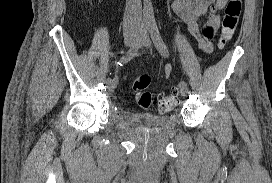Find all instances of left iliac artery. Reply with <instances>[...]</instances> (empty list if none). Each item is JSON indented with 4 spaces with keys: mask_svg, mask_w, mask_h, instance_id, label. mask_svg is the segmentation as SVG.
Wrapping results in <instances>:
<instances>
[{
    "mask_svg": "<svg viewBox=\"0 0 272 183\" xmlns=\"http://www.w3.org/2000/svg\"><path fill=\"white\" fill-rule=\"evenodd\" d=\"M149 32L151 35V38L155 44V47L157 48L158 52L163 56V57H169V51L168 48L166 46V44L164 43L160 32L157 28V25L155 23H152L149 25ZM179 87L181 89L187 88V83L185 81H181L179 83Z\"/></svg>",
    "mask_w": 272,
    "mask_h": 183,
    "instance_id": "left-iliac-artery-1",
    "label": "left iliac artery"
}]
</instances>
